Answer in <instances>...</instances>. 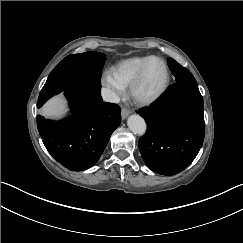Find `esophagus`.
Instances as JSON below:
<instances>
[{"label": "esophagus", "instance_id": "34e87169", "mask_svg": "<svg viewBox=\"0 0 243 243\" xmlns=\"http://www.w3.org/2000/svg\"><path fill=\"white\" fill-rule=\"evenodd\" d=\"M130 113H131V111L129 109L123 108L121 111L122 119L125 120Z\"/></svg>", "mask_w": 243, "mask_h": 243}]
</instances>
